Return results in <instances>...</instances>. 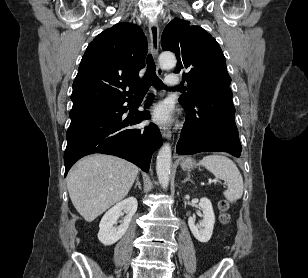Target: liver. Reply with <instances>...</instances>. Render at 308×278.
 I'll return each instance as SVG.
<instances>
[{"label": "liver", "mask_w": 308, "mask_h": 278, "mask_svg": "<svg viewBox=\"0 0 308 278\" xmlns=\"http://www.w3.org/2000/svg\"><path fill=\"white\" fill-rule=\"evenodd\" d=\"M138 172L136 165L115 156H87L68 173L70 199L79 214L92 222L127 196Z\"/></svg>", "instance_id": "obj_1"}]
</instances>
